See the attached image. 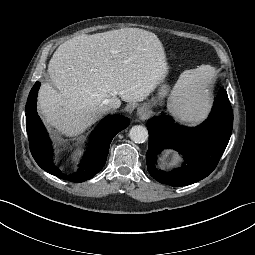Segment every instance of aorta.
Wrapping results in <instances>:
<instances>
[{"instance_id": "aorta-1", "label": "aorta", "mask_w": 255, "mask_h": 255, "mask_svg": "<svg viewBox=\"0 0 255 255\" xmlns=\"http://www.w3.org/2000/svg\"><path fill=\"white\" fill-rule=\"evenodd\" d=\"M129 137L134 143H144L148 138V131L144 126L135 125L130 129Z\"/></svg>"}]
</instances>
